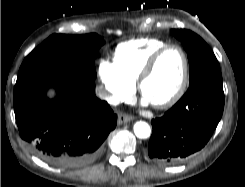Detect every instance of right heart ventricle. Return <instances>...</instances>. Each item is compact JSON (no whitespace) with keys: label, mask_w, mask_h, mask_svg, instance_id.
<instances>
[{"label":"right heart ventricle","mask_w":245,"mask_h":187,"mask_svg":"<svg viewBox=\"0 0 245 187\" xmlns=\"http://www.w3.org/2000/svg\"><path fill=\"white\" fill-rule=\"evenodd\" d=\"M168 43L158 38H137L120 43L113 54L114 63L132 84L147 60Z\"/></svg>","instance_id":"obj_1"}]
</instances>
